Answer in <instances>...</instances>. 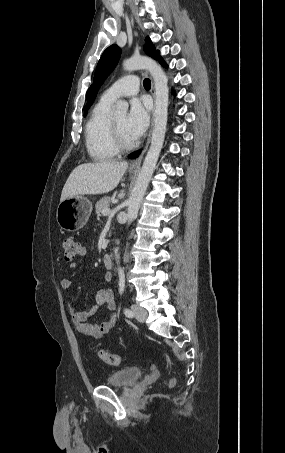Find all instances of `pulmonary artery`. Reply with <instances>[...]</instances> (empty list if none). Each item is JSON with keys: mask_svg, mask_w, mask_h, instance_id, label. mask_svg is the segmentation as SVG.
Masks as SVG:
<instances>
[{"mask_svg": "<svg viewBox=\"0 0 285 453\" xmlns=\"http://www.w3.org/2000/svg\"><path fill=\"white\" fill-rule=\"evenodd\" d=\"M139 90V78L136 75L124 76L112 84L102 95V99L115 102L121 97L135 95Z\"/></svg>", "mask_w": 285, "mask_h": 453, "instance_id": "obj_1", "label": "pulmonary artery"}]
</instances>
